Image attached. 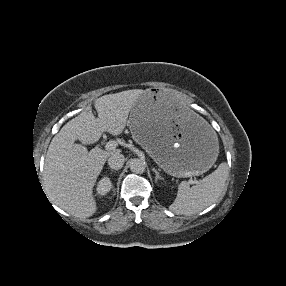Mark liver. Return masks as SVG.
Segmentation results:
<instances>
[{"label": "liver", "instance_id": "obj_1", "mask_svg": "<svg viewBox=\"0 0 286 286\" xmlns=\"http://www.w3.org/2000/svg\"><path fill=\"white\" fill-rule=\"evenodd\" d=\"M143 90H127L95 100L98 118L88 108L66 123L53 137L44 162V186L50 200L69 214L88 218L97 211L93 188L108 157L119 150L88 151L104 132L120 135ZM79 140L82 144H76Z\"/></svg>", "mask_w": 286, "mask_h": 286}]
</instances>
